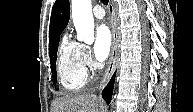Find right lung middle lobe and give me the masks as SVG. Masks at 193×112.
Instances as JSON below:
<instances>
[{
	"mask_svg": "<svg viewBox=\"0 0 193 112\" xmlns=\"http://www.w3.org/2000/svg\"><path fill=\"white\" fill-rule=\"evenodd\" d=\"M58 44H59V38H57L54 44L49 48L51 71H52L54 85L56 84V57H57Z\"/></svg>",
	"mask_w": 193,
	"mask_h": 112,
	"instance_id": "obj_1",
	"label": "right lung middle lobe"
}]
</instances>
